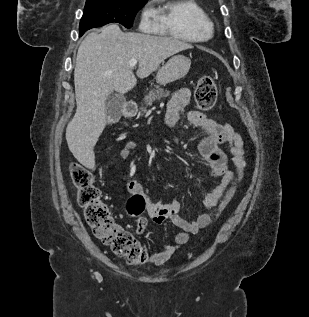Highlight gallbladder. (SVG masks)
Returning a JSON list of instances; mask_svg holds the SVG:
<instances>
[{"label":"gallbladder","mask_w":309,"mask_h":317,"mask_svg":"<svg viewBox=\"0 0 309 317\" xmlns=\"http://www.w3.org/2000/svg\"><path fill=\"white\" fill-rule=\"evenodd\" d=\"M126 102L123 95H112L106 102V116L109 123H116L122 116V108Z\"/></svg>","instance_id":"1"}]
</instances>
